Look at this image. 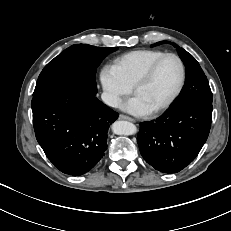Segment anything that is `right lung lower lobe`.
<instances>
[{
    "mask_svg": "<svg viewBox=\"0 0 231 231\" xmlns=\"http://www.w3.org/2000/svg\"><path fill=\"white\" fill-rule=\"evenodd\" d=\"M31 106L36 139L61 172L82 175L103 157L118 113L96 94L67 88L35 96Z\"/></svg>",
    "mask_w": 231,
    "mask_h": 231,
    "instance_id": "1",
    "label": "right lung lower lobe"
}]
</instances>
